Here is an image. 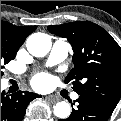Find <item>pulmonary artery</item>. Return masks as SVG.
I'll list each match as a JSON object with an SVG mask.
<instances>
[{"mask_svg":"<svg viewBox=\"0 0 121 121\" xmlns=\"http://www.w3.org/2000/svg\"><path fill=\"white\" fill-rule=\"evenodd\" d=\"M71 51H72V48L68 42L63 41V40L55 41L53 43V46L48 55L45 65L48 67H51V66H54V65H57V64L63 62L64 60L67 59V57L69 56ZM72 97H73V99H77L78 94L73 93Z\"/></svg>","mask_w":121,"mask_h":121,"instance_id":"obj_1","label":"pulmonary artery"}]
</instances>
